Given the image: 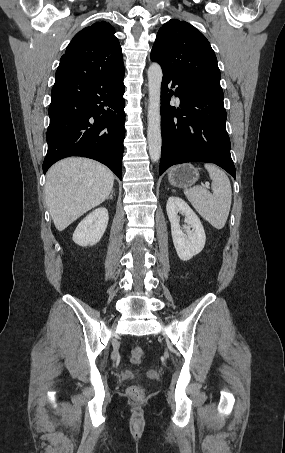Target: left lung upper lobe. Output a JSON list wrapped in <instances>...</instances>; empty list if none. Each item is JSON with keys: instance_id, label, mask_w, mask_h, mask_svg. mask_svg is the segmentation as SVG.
<instances>
[{"instance_id": "1", "label": "left lung upper lobe", "mask_w": 285, "mask_h": 453, "mask_svg": "<svg viewBox=\"0 0 285 453\" xmlns=\"http://www.w3.org/2000/svg\"><path fill=\"white\" fill-rule=\"evenodd\" d=\"M150 58L165 72L192 82L220 97V70L210 43L191 24L169 20L158 31Z\"/></svg>"}]
</instances>
